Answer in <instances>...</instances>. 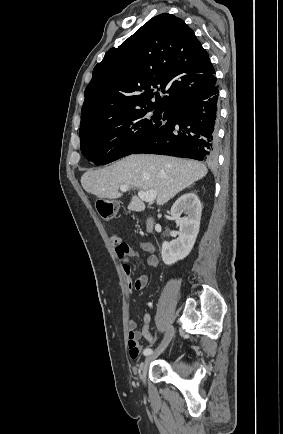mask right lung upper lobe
<instances>
[{"label":"right lung upper lobe","mask_w":283,"mask_h":434,"mask_svg":"<svg viewBox=\"0 0 283 434\" xmlns=\"http://www.w3.org/2000/svg\"><path fill=\"white\" fill-rule=\"evenodd\" d=\"M214 72L209 54L182 19L155 16L95 66L80 130L135 109L167 110L213 86ZM158 91L166 95L160 98Z\"/></svg>","instance_id":"1"}]
</instances>
